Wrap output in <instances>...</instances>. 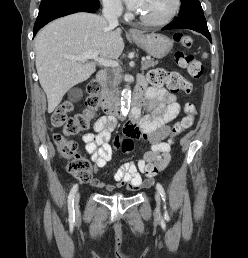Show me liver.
<instances>
[{
    "label": "liver",
    "instance_id": "1",
    "mask_svg": "<svg viewBox=\"0 0 248 258\" xmlns=\"http://www.w3.org/2000/svg\"><path fill=\"white\" fill-rule=\"evenodd\" d=\"M124 50L121 29L109 27L103 17L75 13L59 18L38 32L35 38L36 69L52 113L73 86L87 80L96 62L67 58L96 52L106 60L117 59Z\"/></svg>",
    "mask_w": 248,
    "mask_h": 258
}]
</instances>
